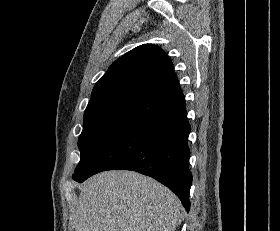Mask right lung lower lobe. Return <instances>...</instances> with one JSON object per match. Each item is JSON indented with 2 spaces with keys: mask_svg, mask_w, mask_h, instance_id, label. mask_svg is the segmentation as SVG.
<instances>
[{
  "mask_svg": "<svg viewBox=\"0 0 280 231\" xmlns=\"http://www.w3.org/2000/svg\"><path fill=\"white\" fill-rule=\"evenodd\" d=\"M186 104L161 111L136 123L106 145L77 176L83 182L106 170H133L170 188L190 209V150Z\"/></svg>",
  "mask_w": 280,
  "mask_h": 231,
  "instance_id": "98d812e1",
  "label": "right lung lower lobe"
}]
</instances>
